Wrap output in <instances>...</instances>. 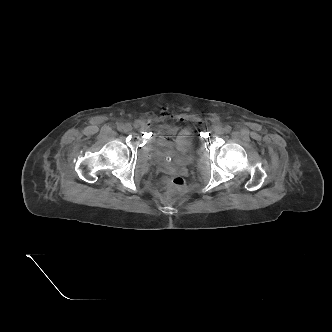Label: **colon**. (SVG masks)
Returning <instances> with one entry per match:
<instances>
[{
	"instance_id": "obj_1",
	"label": "colon",
	"mask_w": 332,
	"mask_h": 332,
	"mask_svg": "<svg viewBox=\"0 0 332 332\" xmlns=\"http://www.w3.org/2000/svg\"><path fill=\"white\" fill-rule=\"evenodd\" d=\"M162 184L168 193L174 194L180 192L184 188L185 181L179 176H168L163 179Z\"/></svg>"
}]
</instances>
